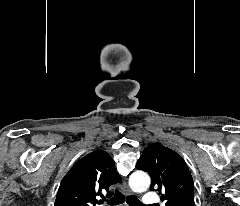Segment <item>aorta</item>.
I'll return each instance as SVG.
<instances>
[{"instance_id":"obj_1","label":"aorta","mask_w":240,"mask_h":206,"mask_svg":"<svg viewBox=\"0 0 240 206\" xmlns=\"http://www.w3.org/2000/svg\"><path fill=\"white\" fill-rule=\"evenodd\" d=\"M129 185L135 192L146 191L150 186V177L143 171H136L129 178Z\"/></svg>"}]
</instances>
